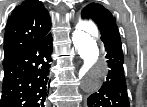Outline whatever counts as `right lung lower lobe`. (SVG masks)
<instances>
[{
    "instance_id": "1",
    "label": "right lung lower lobe",
    "mask_w": 147,
    "mask_h": 107,
    "mask_svg": "<svg viewBox=\"0 0 147 107\" xmlns=\"http://www.w3.org/2000/svg\"><path fill=\"white\" fill-rule=\"evenodd\" d=\"M52 35L3 61L0 107H45L49 92Z\"/></svg>"
}]
</instances>
